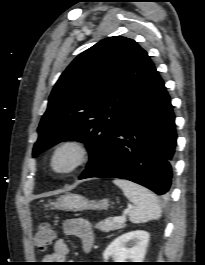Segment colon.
Returning <instances> with one entry per match:
<instances>
[{
	"label": "colon",
	"instance_id": "colon-1",
	"mask_svg": "<svg viewBox=\"0 0 205 265\" xmlns=\"http://www.w3.org/2000/svg\"><path fill=\"white\" fill-rule=\"evenodd\" d=\"M35 245L41 251L48 250L55 243V233L49 224H41L34 237Z\"/></svg>",
	"mask_w": 205,
	"mask_h": 265
}]
</instances>
